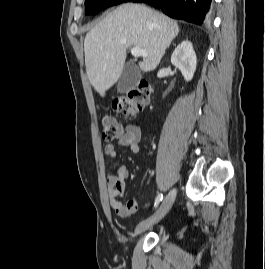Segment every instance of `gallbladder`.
Here are the masks:
<instances>
[{
	"instance_id": "1",
	"label": "gallbladder",
	"mask_w": 265,
	"mask_h": 269,
	"mask_svg": "<svg viewBox=\"0 0 265 269\" xmlns=\"http://www.w3.org/2000/svg\"><path fill=\"white\" fill-rule=\"evenodd\" d=\"M140 75L139 68L133 62L126 63L118 81V93L124 94L134 89L140 79Z\"/></svg>"
}]
</instances>
